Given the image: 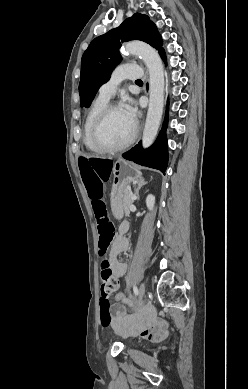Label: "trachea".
I'll use <instances>...</instances> for the list:
<instances>
[{
  "instance_id": "3493384b",
  "label": "trachea",
  "mask_w": 248,
  "mask_h": 389,
  "mask_svg": "<svg viewBox=\"0 0 248 389\" xmlns=\"http://www.w3.org/2000/svg\"><path fill=\"white\" fill-rule=\"evenodd\" d=\"M136 82H141V80H140V79H138V80H136Z\"/></svg>"
}]
</instances>
